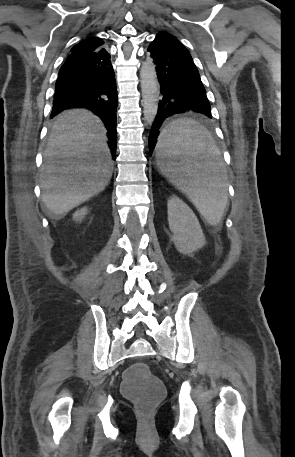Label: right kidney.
Returning <instances> with one entry per match:
<instances>
[{
	"mask_svg": "<svg viewBox=\"0 0 295 457\" xmlns=\"http://www.w3.org/2000/svg\"><path fill=\"white\" fill-rule=\"evenodd\" d=\"M86 214L87 208H82L81 210L74 213L73 218L75 221H81Z\"/></svg>",
	"mask_w": 295,
	"mask_h": 457,
	"instance_id": "ca27d5eb",
	"label": "right kidney"
}]
</instances>
